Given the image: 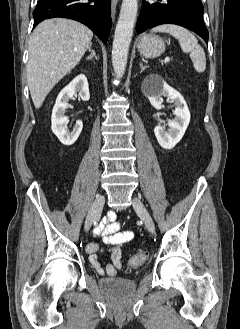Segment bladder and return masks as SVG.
<instances>
[{"instance_id": "bladder-1", "label": "bladder", "mask_w": 240, "mask_h": 329, "mask_svg": "<svg viewBox=\"0 0 240 329\" xmlns=\"http://www.w3.org/2000/svg\"><path fill=\"white\" fill-rule=\"evenodd\" d=\"M100 287L107 293L121 298L135 290V282L129 278L114 276L100 281Z\"/></svg>"}]
</instances>
